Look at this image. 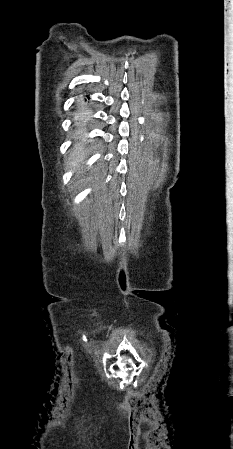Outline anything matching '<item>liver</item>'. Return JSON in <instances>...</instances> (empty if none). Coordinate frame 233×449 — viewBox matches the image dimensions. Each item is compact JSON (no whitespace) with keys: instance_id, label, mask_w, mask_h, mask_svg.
Returning a JSON list of instances; mask_svg holds the SVG:
<instances>
[{"instance_id":"1","label":"liver","mask_w":233,"mask_h":449,"mask_svg":"<svg viewBox=\"0 0 233 449\" xmlns=\"http://www.w3.org/2000/svg\"><path fill=\"white\" fill-rule=\"evenodd\" d=\"M86 158L84 148L81 144H77L73 153L70 155L68 167L72 168L79 165Z\"/></svg>"}]
</instances>
